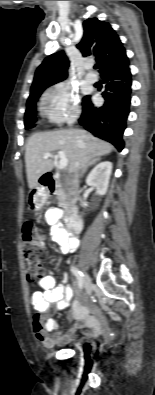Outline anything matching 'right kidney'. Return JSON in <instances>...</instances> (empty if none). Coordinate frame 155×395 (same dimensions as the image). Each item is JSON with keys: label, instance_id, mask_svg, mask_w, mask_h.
Returning <instances> with one entry per match:
<instances>
[{"label": "right kidney", "instance_id": "ca27d5eb", "mask_svg": "<svg viewBox=\"0 0 155 395\" xmlns=\"http://www.w3.org/2000/svg\"><path fill=\"white\" fill-rule=\"evenodd\" d=\"M112 172V163L101 162L93 168L86 179L89 186L96 188L98 195H105L108 189L109 179Z\"/></svg>", "mask_w": 155, "mask_h": 395}]
</instances>
